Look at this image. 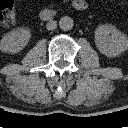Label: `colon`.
I'll use <instances>...</instances> for the list:
<instances>
[{
    "mask_svg": "<svg viewBox=\"0 0 128 128\" xmlns=\"http://www.w3.org/2000/svg\"><path fill=\"white\" fill-rule=\"evenodd\" d=\"M16 9L14 0H0V24L10 27L15 23Z\"/></svg>",
    "mask_w": 128,
    "mask_h": 128,
    "instance_id": "5ec220e1",
    "label": "colon"
}]
</instances>
